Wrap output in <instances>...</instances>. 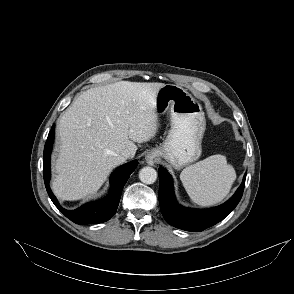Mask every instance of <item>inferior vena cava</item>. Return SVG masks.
<instances>
[{"mask_svg":"<svg viewBox=\"0 0 294 294\" xmlns=\"http://www.w3.org/2000/svg\"><path fill=\"white\" fill-rule=\"evenodd\" d=\"M134 156V154L131 152V151H129V150H124V151H122V153H121V157L123 158V159H129V158H132Z\"/></svg>","mask_w":294,"mask_h":294,"instance_id":"obj_1","label":"inferior vena cava"}]
</instances>
